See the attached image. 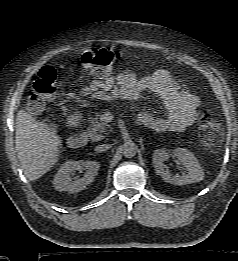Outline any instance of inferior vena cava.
I'll list each match as a JSON object with an SVG mask.
<instances>
[{
    "label": "inferior vena cava",
    "instance_id": "602c4592",
    "mask_svg": "<svg viewBox=\"0 0 238 261\" xmlns=\"http://www.w3.org/2000/svg\"><path fill=\"white\" fill-rule=\"evenodd\" d=\"M109 148H110V145H108V144L98 145L95 148V151L96 152H104V151L108 150Z\"/></svg>",
    "mask_w": 238,
    "mask_h": 261
}]
</instances>
